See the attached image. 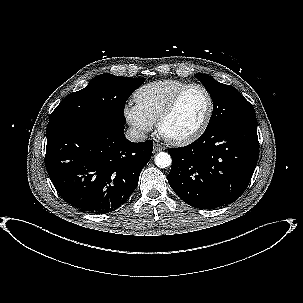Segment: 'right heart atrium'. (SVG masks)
I'll list each match as a JSON object with an SVG mask.
<instances>
[{"instance_id":"obj_1","label":"right heart atrium","mask_w":303,"mask_h":303,"mask_svg":"<svg viewBox=\"0 0 303 303\" xmlns=\"http://www.w3.org/2000/svg\"><path fill=\"white\" fill-rule=\"evenodd\" d=\"M124 116L128 124L139 136L149 132L153 123L142 113L136 104L127 103L124 107Z\"/></svg>"}]
</instances>
